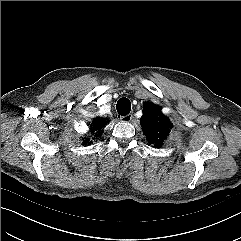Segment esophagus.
Returning a JSON list of instances; mask_svg holds the SVG:
<instances>
[{
	"instance_id": "1",
	"label": "esophagus",
	"mask_w": 241,
	"mask_h": 241,
	"mask_svg": "<svg viewBox=\"0 0 241 241\" xmlns=\"http://www.w3.org/2000/svg\"><path fill=\"white\" fill-rule=\"evenodd\" d=\"M133 118V115L131 113L125 115V116H120V120L123 122H129Z\"/></svg>"
}]
</instances>
